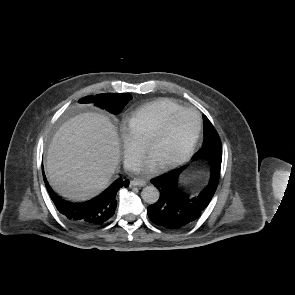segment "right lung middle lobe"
I'll return each instance as SVG.
<instances>
[{"label":"right lung middle lobe","mask_w":295,"mask_h":295,"mask_svg":"<svg viewBox=\"0 0 295 295\" xmlns=\"http://www.w3.org/2000/svg\"><path fill=\"white\" fill-rule=\"evenodd\" d=\"M131 99L132 96L130 94L103 93L95 97H84L79 100V103L95 102V105L117 115Z\"/></svg>","instance_id":"right-lung-middle-lobe-1"}]
</instances>
